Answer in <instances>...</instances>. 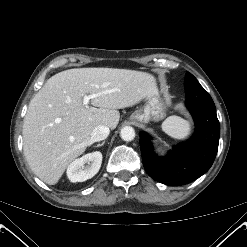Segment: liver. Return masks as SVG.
Instances as JSON below:
<instances>
[{"instance_id": "6515ba94", "label": "liver", "mask_w": 247, "mask_h": 247, "mask_svg": "<svg viewBox=\"0 0 247 247\" xmlns=\"http://www.w3.org/2000/svg\"><path fill=\"white\" fill-rule=\"evenodd\" d=\"M157 90L147 72L75 68L49 78L31 100L23 124V150L33 173L56 184L69 163L83 154L95 127L115 129L120 113ZM85 95H97L84 105ZM98 107V108H96Z\"/></svg>"}]
</instances>
